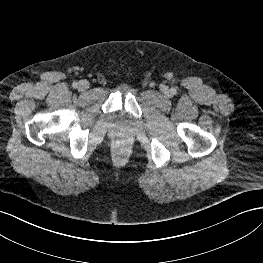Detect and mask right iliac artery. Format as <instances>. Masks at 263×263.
<instances>
[{"label": "right iliac artery", "mask_w": 263, "mask_h": 263, "mask_svg": "<svg viewBox=\"0 0 263 263\" xmlns=\"http://www.w3.org/2000/svg\"><path fill=\"white\" fill-rule=\"evenodd\" d=\"M72 86H73V88H77L78 87V83L77 82H73Z\"/></svg>", "instance_id": "1"}]
</instances>
